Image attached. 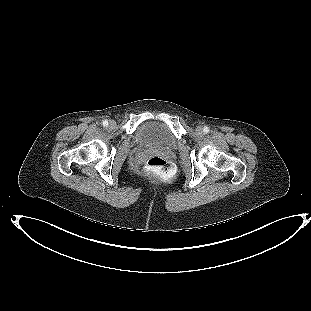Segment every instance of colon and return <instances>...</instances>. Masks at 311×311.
I'll use <instances>...</instances> for the list:
<instances>
[{"mask_svg":"<svg viewBox=\"0 0 311 311\" xmlns=\"http://www.w3.org/2000/svg\"><path fill=\"white\" fill-rule=\"evenodd\" d=\"M148 174L161 180H169L173 176L172 165L161 156H153L146 163Z\"/></svg>","mask_w":311,"mask_h":311,"instance_id":"obj_1","label":"colon"}]
</instances>
